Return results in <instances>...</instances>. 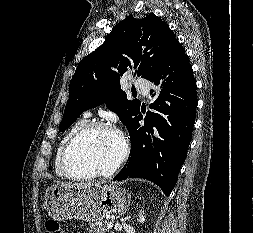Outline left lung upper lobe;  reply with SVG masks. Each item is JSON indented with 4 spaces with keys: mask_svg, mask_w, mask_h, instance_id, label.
I'll return each instance as SVG.
<instances>
[{
    "mask_svg": "<svg viewBox=\"0 0 253 233\" xmlns=\"http://www.w3.org/2000/svg\"><path fill=\"white\" fill-rule=\"evenodd\" d=\"M176 44L173 31L153 13L141 19L127 16L78 64L59 131L66 130L83 111L105 102L129 130L140 101L126 98L120 77L132 72L150 81L161 72Z\"/></svg>",
    "mask_w": 253,
    "mask_h": 233,
    "instance_id": "5c2ea615",
    "label": "left lung upper lobe"
}]
</instances>
